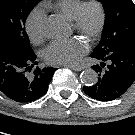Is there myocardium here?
<instances>
[{
  "label": "myocardium",
  "mask_w": 135,
  "mask_h": 135,
  "mask_svg": "<svg viewBox=\"0 0 135 135\" xmlns=\"http://www.w3.org/2000/svg\"><path fill=\"white\" fill-rule=\"evenodd\" d=\"M93 8L96 10L97 19L94 25H89L86 20L87 11ZM106 10L99 0H86L77 10L72 25L76 32L83 35L88 41L97 40L102 34L106 25Z\"/></svg>",
  "instance_id": "1"
}]
</instances>
